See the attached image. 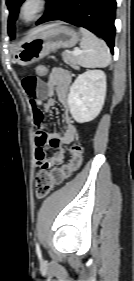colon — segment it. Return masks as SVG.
Returning <instances> with one entry per match:
<instances>
[{
    "instance_id": "5ec220e1",
    "label": "colon",
    "mask_w": 134,
    "mask_h": 281,
    "mask_svg": "<svg viewBox=\"0 0 134 281\" xmlns=\"http://www.w3.org/2000/svg\"><path fill=\"white\" fill-rule=\"evenodd\" d=\"M36 74L38 77L47 75V67L45 65H38L36 67ZM70 160L68 163L54 167L51 170H41L35 178V192L38 198L47 196L51 190L62 184L68 177H70L82 164L83 149L79 144H74L70 148Z\"/></svg>"
}]
</instances>
